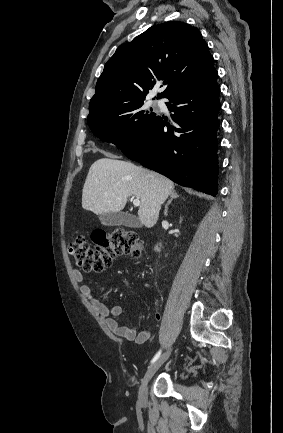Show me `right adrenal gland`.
Masks as SVG:
<instances>
[{
  "label": "right adrenal gland",
  "instance_id": "right-adrenal-gland-1",
  "mask_svg": "<svg viewBox=\"0 0 283 433\" xmlns=\"http://www.w3.org/2000/svg\"><path fill=\"white\" fill-rule=\"evenodd\" d=\"M178 196H179V194H177L176 190H171L170 200H168L167 204H165V210H164L165 217H167V214H168V204H170V202H172L173 198H178Z\"/></svg>",
  "mask_w": 283,
  "mask_h": 433
}]
</instances>
